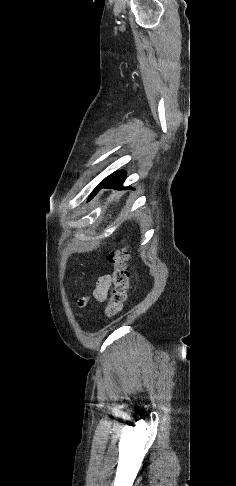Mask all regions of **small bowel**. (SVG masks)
<instances>
[{
  "mask_svg": "<svg viewBox=\"0 0 236 486\" xmlns=\"http://www.w3.org/2000/svg\"><path fill=\"white\" fill-rule=\"evenodd\" d=\"M110 286H111L110 276L109 275L102 276L98 280L93 290V297L99 302H104L108 297ZM85 303H86L85 300L80 301V305H84Z\"/></svg>",
  "mask_w": 236,
  "mask_h": 486,
  "instance_id": "c3829d8e",
  "label": "small bowel"
}]
</instances>
